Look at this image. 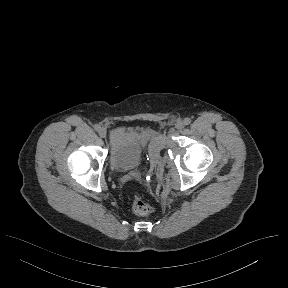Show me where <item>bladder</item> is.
Returning a JSON list of instances; mask_svg holds the SVG:
<instances>
[{
  "label": "bladder",
  "mask_w": 288,
  "mask_h": 288,
  "mask_svg": "<svg viewBox=\"0 0 288 288\" xmlns=\"http://www.w3.org/2000/svg\"><path fill=\"white\" fill-rule=\"evenodd\" d=\"M159 152L154 134L150 130L116 128L110 132L109 162L115 170H134L146 157L154 159Z\"/></svg>",
  "instance_id": "31cf9c89"
}]
</instances>
